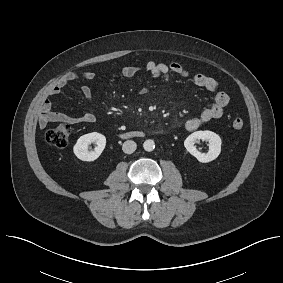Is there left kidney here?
<instances>
[{
    "label": "left kidney",
    "mask_w": 283,
    "mask_h": 283,
    "mask_svg": "<svg viewBox=\"0 0 283 283\" xmlns=\"http://www.w3.org/2000/svg\"><path fill=\"white\" fill-rule=\"evenodd\" d=\"M199 140L208 141V152L201 153L197 150L196 146L194 145ZM221 138L219 135L212 131H196L189 135L185 141L184 146L187 151L192 154L194 157L197 158L199 162L208 163L215 160L220 152H221Z\"/></svg>",
    "instance_id": "obj_1"
}]
</instances>
